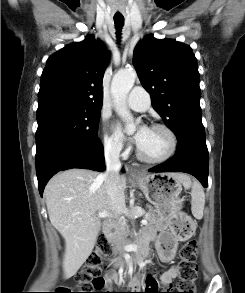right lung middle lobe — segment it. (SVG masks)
Returning <instances> with one entry per match:
<instances>
[{
	"instance_id": "right-lung-middle-lobe-1",
	"label": "right lung middle lobe",
	"mask_w": 245,
	"mask_h": 293,
	"mask_svg": "<svg viewBox=\"0 0 245 293\" xmlns=\"http://www.w3.org/2000/svg\"><path fill=\"white\" fill-rule=\"evenodd\" d=\"M100 109L52 106L37 110L36 163L65 145H96Z\"/></svg>"
}]
</instances>
